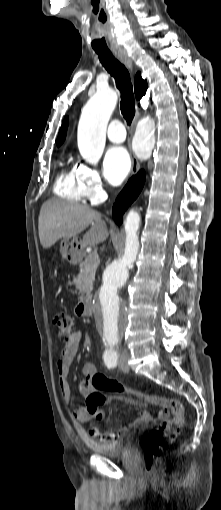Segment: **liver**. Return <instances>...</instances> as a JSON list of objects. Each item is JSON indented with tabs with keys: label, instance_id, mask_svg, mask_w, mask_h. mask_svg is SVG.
<instances>
[{
	"label": "liver",
	"instance_id": "6515ba94",
	"mask_svg": "<svg viewBox=\"0 0 221 510\" xmlns=\"http://www.w3.org/2000/svg\"><path fill=\"white\" fill-rule=\"evenodd\" d=\"M89 225L91 228L84 234L82 248L104 242L109 232L101 214L86 205L50 199L40 210L38 230L43 248L47 249L59 239L75 237Z\"/></svg>",
	"mask_w": 221,
	"mask_h": 510
}]
</instances>
